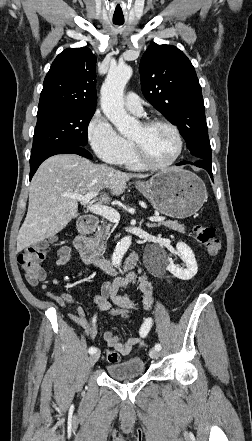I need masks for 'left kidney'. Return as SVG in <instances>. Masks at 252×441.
Masks as SVG:
<instances>
[{"label":"left kidney","mask_w":252,"mask_h":441,"mask_svg":"<svg viewBox=\"0 0 252 441\" xmlns=\"http://www.w3.org/2000/svg\"><path fill=\"white\" fill-rule=\"evenodd\" d=\"M176 248L179 256L186 263V268L185 269L179 268L173 263V260L169 258L168 259L169 263L166 269L175 277L181 280H190L196 275L198 271L195 255L191 250V248L184 242H178Z\"/></svg>","instance_id":"5707ae66"}]
</instances>
